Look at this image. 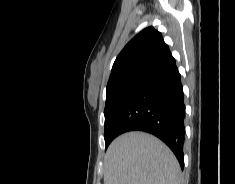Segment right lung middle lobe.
<instances>
[{
  "mask_svg": "<svg viewBox=\"0 0 235 184\" xmlns=\"http://www.w3.org/2000/svg\"><path fill=\"white\" fill-rule=\"evenodd\" d=\"M142 78L135 77L128 79L123 85L120 87H117L115 89H112L108 92H106V105L104 110L105 115V148L108 147V145L111 143V141L116 138V135L114 132L110 131V125L115 117V114L124 100L127 93L137 84L141 82Z\"/></svg>",
  "mask_w": 235,
  "mask_h": 184,
  "instance_id": "right-lung-middle-lobe-1",
  "label": "right lung middle lobe"
}]
</instances>
